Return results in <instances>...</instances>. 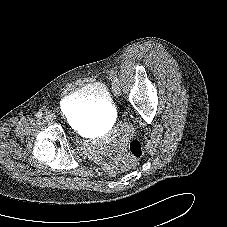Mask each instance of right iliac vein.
<instances>
[{
	"label": "right iliac vein",
	"mask_w": 227,
	"mask_h": 227,
	"mask_svg": "<svg viewBox=\"0 0 227 227\" xmlns=\"http://www.w3.org/2000/svg\"><path fill=\"white\" fill-rule=\"evenodd\" d=\"M46 117H47L48 119H53V118H54V115H53V114L48 113V114H46Z\"/></svg>",
	"instance_id": "1"
}]
</instances>
